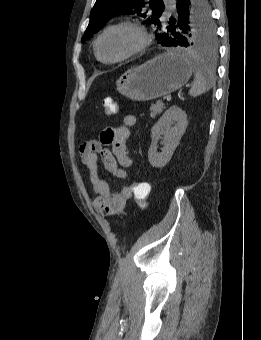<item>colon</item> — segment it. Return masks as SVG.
Instances as JSON below:
<instances>
[{
	"label": "colon",
	"instance_id": "1",
	"mask_svg": "<svg viewBox=\"0 0 261 340\" xmlns=\"http://www.w3.org/2000/svg\"><path fill=\"white\" fill-rule=\"evenodd\" d=\"M118 111V104L112 98L104 100V112L106 115H114ZM132 195L141 208L147 206L150 186L147 183H133L131 185Z\"/></svg>",
	"mask_w": 261,
	"mask_h": 340
}]
</instances>
